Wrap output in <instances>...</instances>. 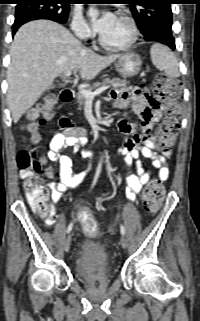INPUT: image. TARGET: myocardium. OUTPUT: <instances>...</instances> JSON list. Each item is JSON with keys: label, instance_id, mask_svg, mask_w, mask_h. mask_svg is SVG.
Returning <instances> with one entry per match:
<instances>
[{"label": "myocardium", "instance_id": "1", "mask_svg": "<svg viewBox=\"0 0 200 321\" xmlns=\"http://www.w3.org/2000/svg\"><path fill=\"white\" fill-rule=\"evenodd\" d=\"M118 17L124 19L125 21H127L131 27V37L129 39V41L123 45H119V46H114V45H110L108 44L104 38L102 37V35H99V44L106 50L111 51V52H121V51H126L128 49H130L137 41L138 36H139V29H138V25L135 21V19L124 13V12H119L118 13Z\"/></svg>", "mask_w": 200, "mask_h": 321}]
</instances>
